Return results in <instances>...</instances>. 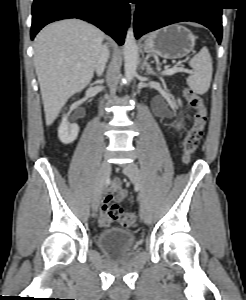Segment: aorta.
Wrapping results in <instances>:
<instances>
[{
    "instance_id": "obj_1",
    "label": "aorta",
    "mask_w": 246,
    "mask_h": 300,
    "mask_svg": "<svg viewBox=\"0 0 246 300\" xmlns=\"http://www.w3.org/2000/svg\"><path fill=\"white\" fill-rule=\"evenodd\" d=\"M138 65V46L136 44L133 27L127 30L124 43V71L125 79L131 81L136 75Z\"/></svg>"
}]
</instances>
